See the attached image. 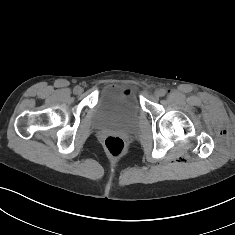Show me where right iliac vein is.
<instances>
[{
    "label": "right iliac vein",
    "instance_id": "right-iliac-vein-1",
    "mask_svg": "<svg viewBox=\"0 0 235 235\" xmlns=\"http://www.w3.org/2000/svg\"><path fill=\"white\" fill-rule=\"evenodd\" d=\"M82 92H83V88L78 86L76 94H81Z\"/></svg>",
    "mask_w": 235,
    "mask_h": 235
}]
</instances>
